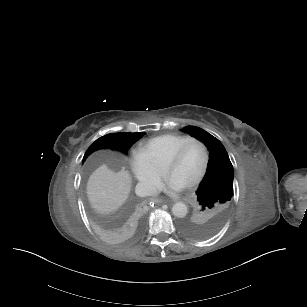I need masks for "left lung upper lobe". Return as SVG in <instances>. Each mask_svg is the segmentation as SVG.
Returning <instances> with one entry per match:
<instances>
[{"label":"left lung upper lobe","mask_w":307,"mask_h":307,"mask_svg":"<svg viewBox=\"0 0 307 307\" xmlns=\"http://www.w3.org/2000/svg\"><path fill=\"white\" fill-rule=\"evenodd\" d=\"M183 130L200 139L210 151L206 174L196 191L194 213L180 224L187 236L205 239L218 232L227 218L233 197V166L217 138L195 126Z\"/></svg>","instance_id":"obj_1"}]
</instances>
